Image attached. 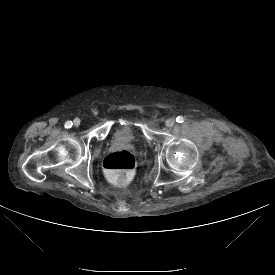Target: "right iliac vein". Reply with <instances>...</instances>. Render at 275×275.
Here are the masks:
<instances>
[{
  "label": "right iliac vein",
  "mask_w": 275,
  "mask_h": 275,
  "mask_svg": "<svg viewBox=\"0 0 275 275\" xmlns=\"http://www.w3.org/2000/svg\"><path fill=\"white\" fill-rule=\"evenodd\" d=\"M73 124H74L75 127H79V125H80V119L75 118L74 121H73Z\"/></svg>",
  "instance_id": "obj_1"
}]
</instances>
